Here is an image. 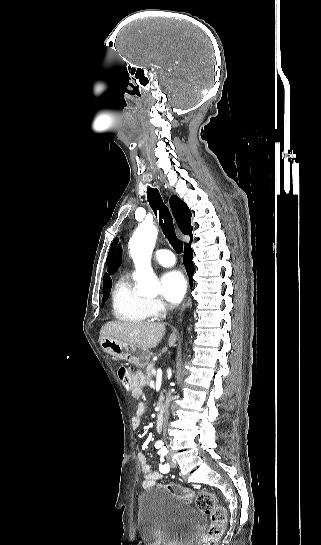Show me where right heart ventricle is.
<instances>
[{"mask_svg":"<svg viewBox=\"0 0 321 545\" xmlns=\"http://www.w3.org/2000/svg\"><path fill=\"white\" fill-rule=\"evenodd\" d=\"M111 310L116 320L127 324H142L153 319L146 302L137 297L126 274L117 277L111 294Z\"/></svg>","mask_w":321,"mask_h":545,"instance_id":"obj_1","label":"right heart ventricle"}]
</instances>
